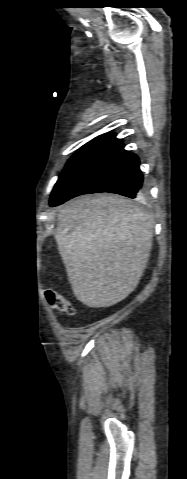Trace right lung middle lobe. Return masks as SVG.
Wrapping results in <instances>:
<instances>
[{"instance_id": "right-lung-middle-lobe-1", "label": "right lung middle lobe", "mask_w": 187, "mask_h": 479, "mask_svg": "<svg viewBox=\"0 0 187 479\" xmlns=\"http://www.w3.org/2000/svg\"><path fill=\"white\" fill-rule=\"evenodd\" d=\"M121 140L113 133L94 138L83 145L67 162L51 194L50 204L56 201L63 191L83 172L98 162L118 145Z\"/></svg>"}]
</instances>
